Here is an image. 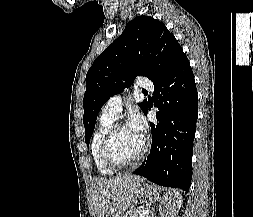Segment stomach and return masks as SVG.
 Masks as SVG:
<instances>
[{
    "mask_svg": "<svg viewBox=\"0 0 253 217\" xmlns=\"http://www.w3.org/2000/svg\"><path fill=\"white\" fill-rule=\"evenodd\" d=\"M134 195L139 200H145L147 198L155 199L158 197V192L156 186L140 182L134 190ZM125 215L123 217H125Z\"/></svg>",
    "mask_w": 253,
    "mask_h": 217,
    "instance_id": "stomach-1",
    "label": "stomach"
}]
</instances>
